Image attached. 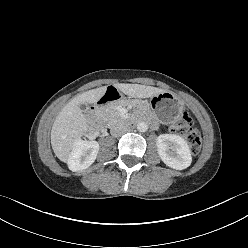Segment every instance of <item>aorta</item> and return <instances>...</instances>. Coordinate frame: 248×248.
<instances>
[{
    "label": "aorta",
    "instance_id": "obj_1",
    "mask_svg": "<svg viewBox=\"0 0 248 248\" xmlns=\"http://www.w3.org/2000/svg\"><path fill=\"white\" fill-rule=\"evenodd\" d=\"M137 130L139 132H146L148 130V124L146 122H139L137 124Z\"/></svg>",
    "mask_w": 248,
    "mask_h": 248
}]
</instances>
